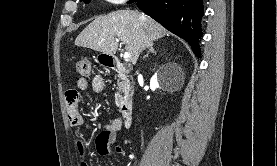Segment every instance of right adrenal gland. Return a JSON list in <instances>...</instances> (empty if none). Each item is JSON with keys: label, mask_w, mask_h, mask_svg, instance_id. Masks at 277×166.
I'll return each mask as SVG.
<instances>
[{"label": "right adrenal gland", "mask_w": 277, "mask_h": 166, "mask_svg": "<svg viewBox=\"0 0 277 166\" xmlns=\"http://www.w3.org/2000/svg\"><path fill=\"white\" fill-rule=\"evenodd\" d=\"M149 53H154V54H156V51H155L153 45L150 46V49H149L148 53L144 56V58L148 57Z\"/></svg>", "instance_id": "obj_1"}]
</instances>
